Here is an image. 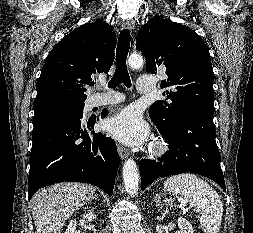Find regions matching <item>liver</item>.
I'll list each match as a JSON object with an SVG mask.
<instances>
[{
  "label": "liver",
  "mask_w": 253,
  "mask_h": 233,
  "mask_svg": "<svg viewBox=\"0 0 253 233\" xmlns=\"http://www.w3.org/2000/svg\"><path fill=\"white\" fill-rule=\"evenodd\" d=\"M94 198L95 188L82 183L64 182L40 190L31 200L37 233H60L66 220Z\"/></svg>",
  "instance_id": "6515ba94"
}]
</instances>
